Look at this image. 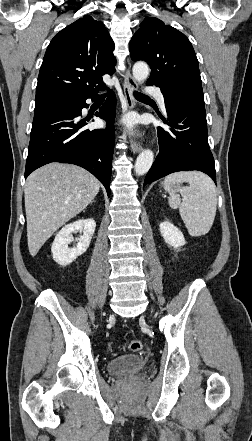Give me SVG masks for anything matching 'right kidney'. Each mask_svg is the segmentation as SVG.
I'll use <instances>...</instances> for the list:
<instances>
[{
    "mask_svg": "<svg viewBox=\"0 0 252 441\" xmlns=\"http://www.w3.org/2000/svg\"><path fill=\"white\" fill-rule=\"evenodd\" d=\"M95 227L96 223L93 219H82L64 226L57 233L51 246L54 261L61 266H67L86 252ZM77 231L83 232V234L76 239L78 242L76 247L69 248L68 245L74 241L72 233Z\"/></svg>",
    "mask_w": 252,
    "mask_h": 441,
    "instance_id": "obj_1",
    "label": "right kidney"
}]
</instances>
